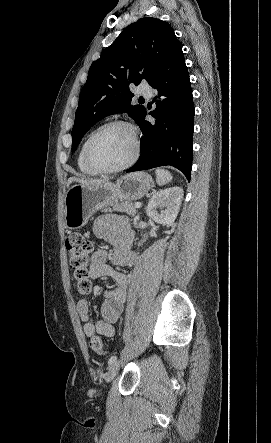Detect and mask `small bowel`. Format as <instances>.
Wrapping results in <instances>:
<instances>
[{
    "instance_id": "c3829d8e",
    "label": "small bowel",
    "mask_w": 271,
    "mask_h": 443,
    "mask_svg": "<svg viewBox=\"0 0 271 443\" xmlns=\"http://www.w3.org/2000/svg\"><path fill=\"white\" fill-rule=\"evenodd\" d=\"M93 233L99 239L110 242L114 248L112 261L117 266H132L136 261V255L132 251L133 233L128 225L119 217L104 215L96 219L93 225ZM108 253L105 249H98L92 257L90 277L111 278L115 285L105 291V300L102 305V317L96 322L90 320L89 302L81 299L77 303V312L83 322V330L87 337L102 335L112 337L116 330L114 324L122 313L129 284L127 275L113 270L106 264Z\"/></svg>"
}]
</instances>
